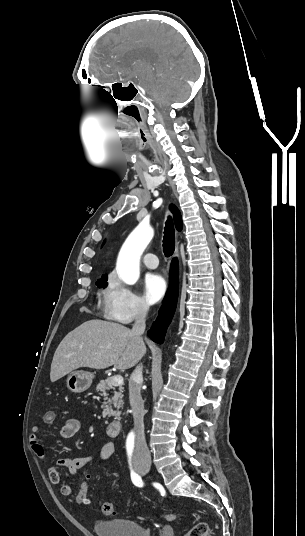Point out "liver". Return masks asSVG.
<instances>
[{
  "label": "liver",
  "instance_id": "1",
  "mask_svg": "<svg viewBox=\"0 0 305 536\" xmlns=\"http://www.w3.org/2000/svg\"><path fill=\"white\" fill-rule=\"evenodd\" d=\"M146 348L129 328L103 320L84 322L60 342L52 360L50 380L57 382L78 368L128 370L138 364Z\"/></svg>",
  "mask_w": 305,
  "mask_h": 536
}]
</instances>
